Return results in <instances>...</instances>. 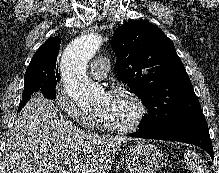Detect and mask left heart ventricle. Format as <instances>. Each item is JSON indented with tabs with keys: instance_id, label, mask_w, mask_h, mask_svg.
Instances as JSON below:
<instances>
[{
	"instance_id": "obj_1",
	"label": "left heart ventricle",
	"mask_w": 219,
	"mask_h": 173,
	"mask_svg": "<svg viewBox=\"0 0 219 173\" xmlns=\"http://www.w3.org/2000/svg\"><path fill=\"white\" fill-rule=\"evenodd\" d=\"M96 110L106 122L114 126L129 125L137 113L134 102L119 93H103L97 101Z\"/></svg>"
}]
</instances>
